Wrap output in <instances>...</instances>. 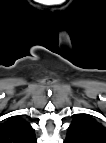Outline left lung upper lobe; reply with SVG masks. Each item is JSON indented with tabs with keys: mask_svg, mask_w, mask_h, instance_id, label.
<instances>
[{
	"mask_svg": "<svg viewBox=\"0 0 106 143\" xmlns=\"http://www.w3.org/2000/svg\"><path fill=\"white\" fill-rule=\"evenodd\" d=\"M67 134L77 143H106V126L89 114L76 115Z\"/></svg>",
	"mask_w": 106,
	"mask_h": 143,
	"instance_id": "5c2ea615",
	"label": "left lung upper lobe"
}]
</instances>
